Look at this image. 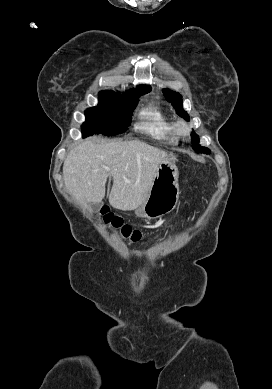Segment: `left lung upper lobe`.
Instances as JSON below:
<instances>
[{"mask_svg":"<svg viewBox=\"0 0 272 389\" xmlns=\"http://www.w3.org/2000/svg\"><path fill=\"white\" fill-rule=\"evenodd\" d=\"M163 93L166 95L167 101L171 102L173 106L177 109L178 114L189 121V116L182 107V96L177 92H172L168 89H163ZM192 146L196 152L210 153V150L206 147L199 145V137L193 132L192 133Z\"/></svg>","mask_w":272,"mask_h":389,"instance_id":"obj_1","label":"left lung upper lobe"}]
</instances>
